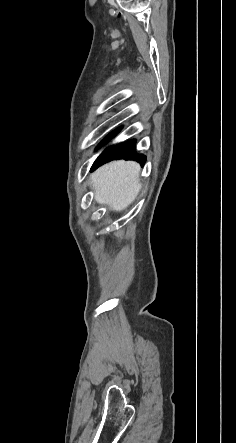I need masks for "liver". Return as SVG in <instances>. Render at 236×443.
<instances>
[{
  "instance_id": "obj_1",
  "label": "liver",
  "mask_w": 236,
  "mask_h": 443,
  "mask_svg": "<svg viewBox=\"0 0 236 443\" xmlns=\"http://www.w3.org/2000/svg\"><path fill=\"white\" fill-rule=\"evenodd\" d=\"M140 170L138 163L124 160L100 167L91 175L95 201L116 212L126 209L141 190Z\"/></svg>"
}]
</instances>
